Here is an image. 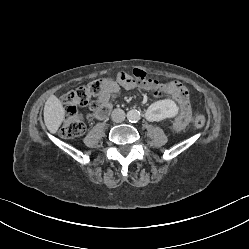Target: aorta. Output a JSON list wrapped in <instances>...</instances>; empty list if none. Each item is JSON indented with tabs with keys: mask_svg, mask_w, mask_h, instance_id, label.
Here are the masks:
<instances>
[{
	"mask_svg": "<svg viewBox=\"0 0 249 249\" xmlns=\"http://www.w3.org/2000/svg\"><path fill=\"white\" fill-rule=\"evenodd\" d=\"M140 112L136 109H131L127 112V119L130 122H138L140 120Z\"/></svg>",
	"mask_w": 249,
	"mask_h": 249,
	"instance_id": "aorta-1",
	"label": "aorta"
}]
</instances>
